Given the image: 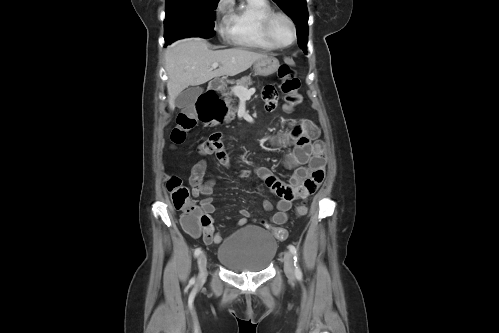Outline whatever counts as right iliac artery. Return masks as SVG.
Segmentation results:
<instances>
[{"label": "right iliac artery", "mask_w": 499, "mask_h": 333, "mask_svg": "<svg viewBox=\"0 0 499 333\" xmlns=\"http://www.w3.org/2000/svg\"><path fill=\"white\" fill-rule=\"evenodd\" d=\"M201 253V248H197L194 252L195 257H198ZM193 280V279H192Z\"/></svg>", "instance_id": "1"}]
</instances>
